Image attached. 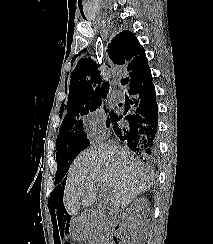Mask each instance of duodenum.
I'll use <instances>...</instances> for the list:
<instances>
[{
  "instance_id": "410a0bca",
  "label": "duodenum",
  "mask_w": 213,
  "mask_h": 244,
  "mask_svg": "<svg viewBox=\"0 0 213 244\" xmlns=\"http://www.w3.org/2000/svg\"><path fill=\"white\" fill-rule=\"evenodd\" d=\"M91 219L88 218L87 221H90ZM112 234L108 236L106 244H118L117 242V236L119 231V225L118 223L114 222L111 226Z\"/></svg>"
}]
</instances>
